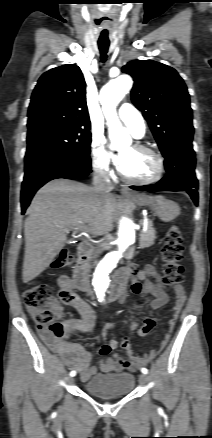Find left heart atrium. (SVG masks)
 <instances>
[{
    "label": "left heart atrium",
    "mask_w": 212,
    "mask_h": 438,
    "mask_svg": "<svg viewBox=\"0 0 212 438\" xmlns=\"http://www.w3.org/2000/svg\"><path fill=\"white\" fill-rule=\"evenodd\" d=\"M115 163L117 164L118 168L121 170L125 164V157L122 155H119L115 158Z\"/></svg>",
    "instance_id": "obj_1"
}]
</instances>
